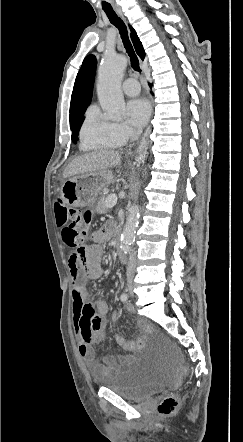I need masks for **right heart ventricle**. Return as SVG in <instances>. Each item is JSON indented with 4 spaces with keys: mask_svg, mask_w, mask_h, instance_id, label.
Wrapping results in <instances>:
<instances>
[{
    "mask_svg": "<svg viewBox=\"0 0 243 442\" xmlns=\"http://www.w3.org/2000/svg\"><path fill=\"white\" fill-rule=\"evenodd\" d=\"M79 136L83 151L112 148L120 144L111 131V123L95 106L87 109Z\"/></svg>",
    "mask_w": 243,
    "mask_h": 442,
    "instance_id": "1",
    "label": "right heart ventricle"
}]
</instances>
